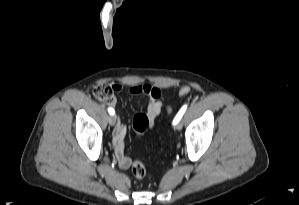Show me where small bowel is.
Wrapping results in <instances>:
<instances>
[{
	"instance_id": "c3829d8e",
	"label": "small bowel",
	"mask_w": 299,
	"mask_h": 205,
	"mask_svg": "<svg viewBox=\"0 0 299 205\" xmlns=\"http://www.w3.org/2000/svg\"><path fill=\"white\" fill-rule=\"evenodd\" d=\"M115 90H120L121 86L114 85ZM132 94H145L149 98L148 106L145 115L149 120V127L152 128L155 125L156 119L159 116L163 103L161 90L149 84L134 85L130 88ZM126 135V126L123 123H119L113 132V146L114 153L118 165L122 169H128L131 166V159L124 153V138Z\"/></svg>"
}]
</instances>
